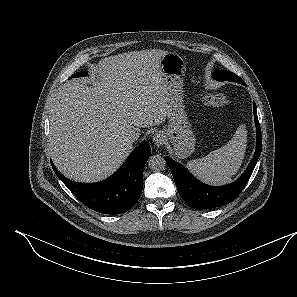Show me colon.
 Segmentation results:
<instances>
[{"instance_id":"colon-1","label":"colon","mask_w":297,"mask_h":297,"mask_svg":"<svg viewBox=\"0 0 297 297\" xmlns=\"http://www.w3.org/2000/svg\"><path fill=\"white\" fill-rule=\"evenodd\" d=\"M202 101L206 106L212 108H224L231 104V99L224 94H204Z\"/></svg>"}]
</instances>
